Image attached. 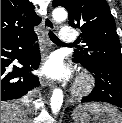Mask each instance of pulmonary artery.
Wrapping results in <instances>:
<instances>
[{
  "label": "pulmonary artery",
  "mask_w": 122,
  "mask_h": 123,
  "mask_svg": "<svg viewBox=\"0 0 122 123\" xmlns=\"http://www.w3.org/2000/svg\"><path fill=\"white\" fill-rule=\"evenodd\" d=\"M59 36L63 43H72L76 39L74 31L70 27H63Z\"/></svg>",
  "instance_id": "pulmonary-artery-1"
}]
</instances>
